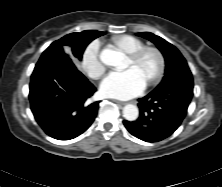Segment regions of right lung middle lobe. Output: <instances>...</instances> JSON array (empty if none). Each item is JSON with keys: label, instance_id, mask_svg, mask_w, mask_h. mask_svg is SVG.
Segmentation results:
<instances>
[{"label": "right lung middle lobe", "instance_id": "obj_1", "mask_svg": "<svg viewBox=\"0 0 222 187\" xmlns=\"http://www.w3.org/2000/svg\"><path fill=\"white\" fill-rule=\"evenodd\" d=\"M104 34V32L95 30H86L81 33H71L64 36L60 40L53 42L45 51H57L64 54H66L65 51H70L71 57L81 60L86 46L92 40Z\"/></svg>", "mask_w": 222, "mask_h": 187}]
</instances>
